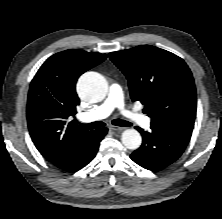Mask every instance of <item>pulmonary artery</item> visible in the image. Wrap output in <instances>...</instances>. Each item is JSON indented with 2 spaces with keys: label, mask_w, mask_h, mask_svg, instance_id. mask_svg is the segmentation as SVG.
<instances>
[{
  "label": "pulmonary artery",
  "mask_w": 222,
  "mask_h": 219,
  "mask_svg": "<svg viewBox=\"0 0 222 219\" xmlns=\"http://www.w3.org/2000/svg\"><path fill=\"white\" fill-rule=\"evenodd\" d=\"M114 109H119L121 114L130 122L139 124L144 128L149 127L150 119L139 112L127 108L124 104L122 89L118 84H112L107 100L94 110L81 114L79 118L83 122L101 120L108 117Z\"/></svg>",
  "instance_id": "obj_1"
}]
</instances>
